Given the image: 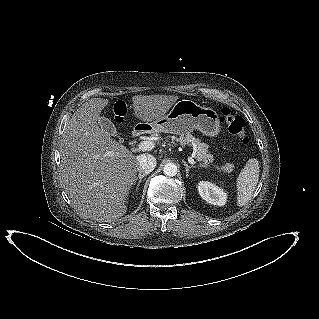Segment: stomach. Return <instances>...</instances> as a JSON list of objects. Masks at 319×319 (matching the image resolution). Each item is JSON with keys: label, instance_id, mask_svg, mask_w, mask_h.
Here are the masks:
<instances>
[{"label": "stomach", "instance_id": "0dacf381", "mask_svg": "<svg viewBox=\"0 0 319 319\" xmlns=\"http://www.w3.org/2000/svg\"><path fill=\"white\" fill-rule=\"evenodd\" d=\"M142 124L148 125V123ZM149 127L154 132L181 136L198 129L210 137L217 136L221 129L219 116L214 109L185 99L176 102L167 115L154 120Z\"/></svg>", "mask_w": 319, "mask_h": 319}]
</instances>
